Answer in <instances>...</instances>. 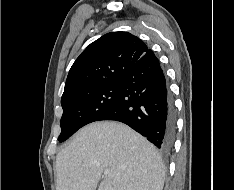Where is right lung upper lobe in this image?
Wrapping results in <instances>:
<instances>
[{
    "instance_id": "right-lung-upper-lobe-1",
    "label": "right lung upper lobe",
    "mask_w": 234,
    "mask_h": 190,
    "mask_svg": "<svg viewBox=\"0 0 234 190\" xmlns=\"http://www.w3.org/2000/svg\"><path fill=\"white\" fill-rule=\"evenodd\" d=\"M138 37L111 32L91 43L72 65L61 101L86 90L119 82L147 51Z\"/></svg>"
}]
</instances>
